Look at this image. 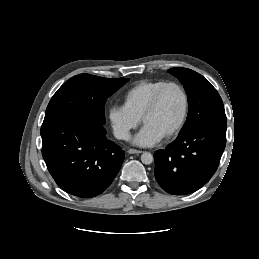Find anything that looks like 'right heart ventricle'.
Masks as SVG:
<instances>
[{
    "instance_id": "e07e8e85",
    "label": "right heart ventricle",
    "mask_w": 259,
    "mask_h": 259,
    "mask_svg": "<svg viewBox=\"0 0 259 259\" xmlns=\"http://www.w3.org/2000/svg\"><path fill=\"white\" fill-rule=\"evenodd\" d=\"M167 82L164 79L139 81L124 93L123 106L140 119L156 91Z\"/></svg>"
}]
</instances>
